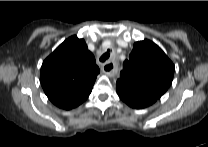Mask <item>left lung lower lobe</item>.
Masks as SVG:
<instances>
[{"label": "left lung lower lobe", "instance_id": "0a47b994", "mask_svg": "<svg viewBox=\"0 0 208 147\" xmlns=\"http://www.w3.org/2000/svg\"><path fill=\"white\" fill-rule=\"evenodd\" d=\"M117 93L122 101L132 108H145L153 104L157 98L142 92L116 84Z\"/></svg>", "mask_w": 208, "mask_h": 147}]
</instances>
